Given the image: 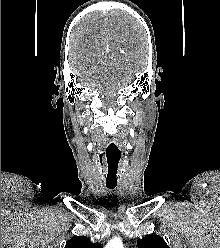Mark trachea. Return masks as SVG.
Listing matches in <instances>:
<instances>
[{"instance_id": "3493384b", "label": "trachea", "mask_w": 220, "mask_h": 248, "mask_svg": "<svg viewBox=\"0 0 220 248\" xmlns=\"http://www.w3.org/2000/svg\"><path fill=\"white\" fill-rule=\"evenodd\" d=\"M106 186H107L108 189L113 190L116 187V184H107L106 183Z\"/></svg>"}]
</instances>
